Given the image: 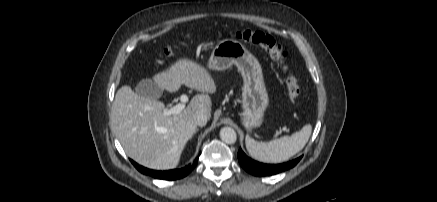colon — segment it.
I'll use <instances>...</instances> for the list:
<instances>
[{
  "mask_svg": "<svg viewBox=\"0 0 437 202\" xmlns=\"http://www.w3.org/2000/svg\"><path fill=\"white\" fill-rule=\"evenodd\" d=\"M236 38L250 44L260 46L271 59L276 61L284 72L287 73L285 80L287 95L291 102H295L300 95V86L298 78L290 70L286 51L277 43L271 35L259 30H243L236 33ZM174 52V48L168 47L164 51L165 56H170Z\"/></svg>",
  "mask_w": 437,
  "mask_h": 202,
  "instance_id": "5ec220e1",
  "label": "colon"
}]
</instances>
